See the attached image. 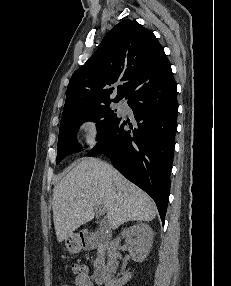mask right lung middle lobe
<instances>
[{"label":"right lung middle lobe","instance_id":"obj_1","mask_svg":"<svg viewBox=\"0 0 231 286\" xmlns=\"http://www.w3.org/2000/svg\"><path fill=\"white\" fill-rule=\"evenodd\" d=\"M110 102L111 101L104 102L102 104L62 116L57 145L56 163H59L69 153V151L70 154L80 151V146L76 144V132L83 122H97L98 139H101L109 131L111 126L118 119L115 111L108 107Z\"/></svg>","mask_w":231,"mask_h":286}]
</instances>
